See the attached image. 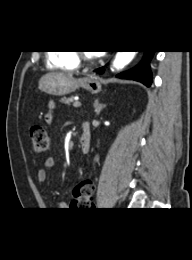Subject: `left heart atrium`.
<instances>
[{"mask_svg":"<svg viewBox=\"0 0 192 260\" xmlns=\"http://www.w3.org/2000/svg\"><path fill=\"white\" fill-rule=\"evenodd\" d=\"M101 52H94V55H100Z\"/></svg>","mask_w":192,"mask_h":260,"instance_id":"1","label":"left heart atrium"}]
</instances>
